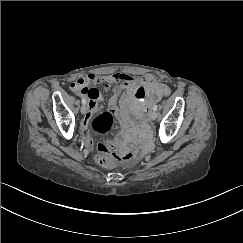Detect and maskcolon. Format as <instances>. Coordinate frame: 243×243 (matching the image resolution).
Segmentation results:
<instances>
[{
  "instance_id": "1",
  "label": "colon",
  "mask_w": 243,
  "mask_h": 243,
  "mask_svg": "<svg viewBox=\"0 0 243 243\" xmlns=\"http://www.w3.org/2000/svg\"><path fill=\"white\" fill-rule=\"evenodd\" d=\"M113 124H114L113 114L108 111L98 114L91 121V127L93 131L101 137H105L107 134L110 133V131L113 128ZM136 153H137V147H133L123 155H113V158L119 161L127 160L133 158L136 155ZM98 161L102 165L111 164L110 158L105 155L99 156Z\"/></svg>"
}]
</instances>
